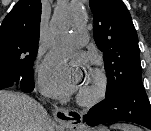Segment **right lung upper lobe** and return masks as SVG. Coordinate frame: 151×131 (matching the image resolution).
Returning a JSON list of instances; mask_svg holds the SVG:
<instances>
[{
    "label": "right lung upper lobe",
    "mask_w": 151,
    "mask_h": 131,
    "mask_svg": "<svg viewBox=\"0 0 151 131\" xmlns=\"http://www.w3.org/2000/svg\"><path fill=\"white\" fill-rule=\"evenodd\" d=\"M40 18V0H20L0 26V51L17 45L37 53Z\"/></svg>",
    "instance_id": "obj_1"
}]
</instances>
